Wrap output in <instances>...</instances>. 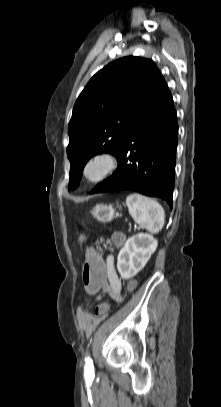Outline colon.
Returning <instances> with one entry per match:
<instances>
[{
  "label": "colon",
  "mask_w": 221,
  "mask_h": 407,
  "mask_svg": "<svg viewBox=\"0 0 221 407\" xmlns=\"http://www.w3.org/2000/svg\"><path fill=\"white\" fill-rule=\"evenodd\" d=\"M115 244L120 245L123 237L116 234L113 237ZM108 267L105 258H102L101 252H95L92 247L86 249V260L84 261V271H82L83 290L84 292H103L104 286L108 285ZM128 291H135L137 284L128 282L126 284ZM109 303L104 301L96 306L97 316L104 318L110 311Z\"/></svg>",
  "instance_id": "1"
}]
</instances>
